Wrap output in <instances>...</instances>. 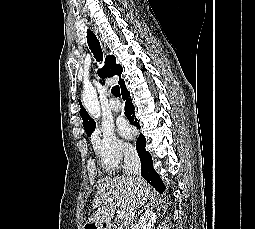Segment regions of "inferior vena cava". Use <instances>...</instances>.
Here are the masks:
<instances>
[{
	"instance_id": "602c4592",
	"label": "inferior vena cava",
	"mask_w": 255,
	"mask_h": 229,
	"mask_svg": "<svg viewBox=\"0 0 255 229\" xmlns=\"http://www.w3.org/2000/svg\"><path fill=\"white\" fill-rule=\"evenodd\" d=\"M124 172L127 177H135L141 172V162L134 147H127L124 151Z\"/></svg>"
}]
</instances>
